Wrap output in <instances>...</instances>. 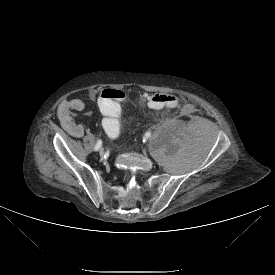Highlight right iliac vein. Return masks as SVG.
Listing matches in <instances>:
<instances>
[{"instance_id":"1","label":"right iliac vein","mask_w":275,"mask_h":275,"mask_svg":"<svg viewBox=\"0 0 275 275\" xmlns=\"http://www.w3.org/2000/svg\"><path fill=\"white\" fill-rule=\"evenodd\" d=\"M99 154H100V156H103L105 154V151L103 149H100Z\"/></svg>"}]
</instances>
